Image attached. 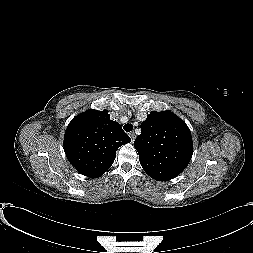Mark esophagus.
<instances>
[{
  "label": "esophagus",
  "instance_id": "1",
  "mask_svg": "<svg viewBox=\"0 0 253 253\" xmlns=\"http://www.w3.org/2000/svg\"><path fill=\"white\" fill-rule=\"evenodd\" d=\"M129 136L131 138V141L134 142V140H135V133L134 132H130Z\"/></svg>",
  "mask_w": 253,
  "mask_h": 253
}]
</instances>
